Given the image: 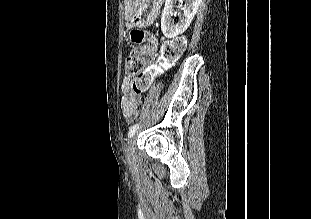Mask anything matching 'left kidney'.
I'll return each instance as SVG.
<instances>
[{
	"instance_id": "left-kidney-1",
	"label": "left kidney",
	"mask_w": 311,
	"mask_h": 219,
	"mask_svg": "<svg viewBox=\"0 0 311 219\" xmlns=\"http://www.w3.org/2000/svg\"><path fill=\"white\" fill-rule=\"evenodd\" d=\"M176 1L177 0L165 1V7L161 17V30L167 38H174L185 32L202 2V0H185L186 3L183 7V15L179 17V21L177 23H174L171 16L173 14L174 4Z\"/></svg>"
}]
</instances>
